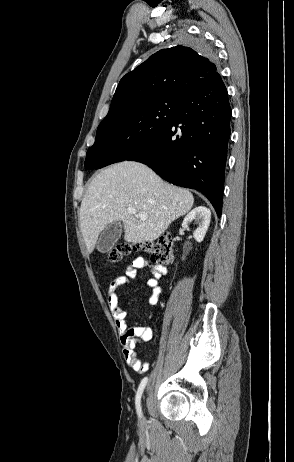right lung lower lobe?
Instances as JSON below:
<instances>
[{"label":"right lung lower lobe","instance_id":"right-lung-lower-lobe-1","mask_svg":"<svg viewBox=\"0 0 294 462\" xmlns=\"http://www.w3.org/2000/svg\"><path fill=\"white\" fill-rule=\"evenodd\" d=\"M231 114L220 77L203 89L189 92L166 127L126 160L146 164L177 186L202 192L220 217ZM104 165L98 153L86 157V169Z\"/></svg>","mask_w":294,"mask_h":462}]
</instances>
